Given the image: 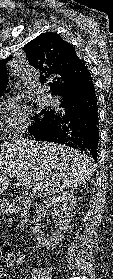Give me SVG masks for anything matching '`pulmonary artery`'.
Returning <instances> with one entry per match:
<instances>
[{"label":"pulmonary artery","mask_w":113,"mask_h":279,"mask_svg":"<svg viewBox=\"0 0 113 279\" xmlns=\"http://www.w3.org/2000/svg\"><path fill=\"white\" fill-rule=\"evenodd\" d=\"M45 100H46L47 103H51L52 97L49 96V95H47V96L45 97Z\"/></svg>","instance_id":"obj_1"}]
</instances>
